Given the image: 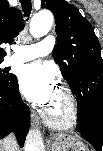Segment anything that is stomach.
I'll use <instances>...</instances> for the list:
<instances>
[{
    "instance_id": "obj_1",
    "label": "stomach",
    "mask_w": 103,
    "mask_h": 151,
    "mask_svg": "<svg viewBox=\"0 0 103 151\" xmlns=\"http://www.w3.org/2000/svg\"><path fill=\"white\" fill-rule=\"evenodd\" d=\"M49 151H88L78 136L59 134L49 143Z\"/></svg>"
}]
</instances>
